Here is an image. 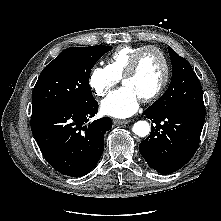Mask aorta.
<instances>
[{"label": "aorta", "instance_id": "1", "mask_svg": "<svg viewBox=\"0 0 221 221\" xmlns=\"http://www.w3.org/2000/svg\"><path fill=\"white\" fill-rule=\"evenodd\" d=\"M132 131L139 137H145L150 132V125L147 121H138L133 125Z\"/></svg>", "mask_w": 221, "mask_h": 221}]
</instances>
